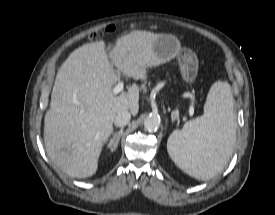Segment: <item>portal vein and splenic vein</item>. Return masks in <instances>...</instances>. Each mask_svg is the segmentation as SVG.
<instances>
[{"mask_svg": "<svg viewBox=\"0 0 275 215\" xmlns=\"http://www.w3.org/2000/svg\"><path fill=\"white\" fill-rule=\"evenodd\" d=\"M124 88V83L123 82H119L114 88H113V93L115 95H117L118 93H120Z\"/></svg>", "mask_w": 275, "mask_h": 215, "instance_id": "1", "label": "portal vein and splenic vein"}]
</instances>
